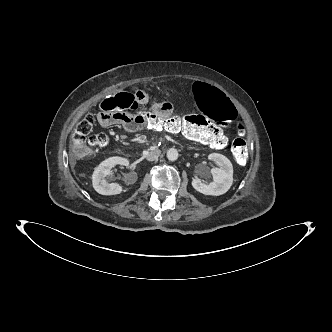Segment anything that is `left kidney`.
<instances>
[{
	"label": "left kidney",
	"mask_w": 332,
	"mask_h": 332,
	"mask_svg": "<svg viewBox=\"0 0 332 332\" xmlns=\"http://www.w3.org/2000/svg\"><path fill=\"white\" fill-rule=\"evenodd\" d=\"M208 159L216 163L218 167L210 170L213 176V182L205 184L199 178L192 180L193 188L204 194L219 196L226 193L233 183V166L230 160L222 154L211 153Z\"/></svg>",
	"instance_id": "obj_1"
}]
</instances>
